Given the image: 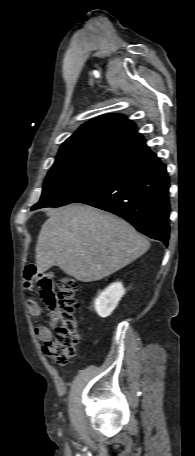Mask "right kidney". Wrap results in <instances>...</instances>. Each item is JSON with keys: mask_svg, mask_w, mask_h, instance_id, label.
<instances>
[{"mask_svg": "<svg viewBox=\"0 0 195 456\" xmlns=\"http://www.w3.org/2000/svg\"><path fill=\"white\" fill-rule=\"evenodd\" d=\"M125 294L121 282H115L104 289L95 299L94 307L100 317H108L117 307L118 302Z\"/></svg>", "mask_w": 195, "mask_h": 456, "instance_id": "right-kidney-1", "label": "right kidney"}]
</instances>
